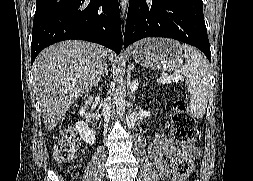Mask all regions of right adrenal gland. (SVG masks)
<instances>
[{
  "mask_svg": "<svg viewBox=\"0 0 253 181\" xmlns=\"http://www.w3.org/2000/svg\"><path fill=\"white\" fill-rule=\"evenodd\" d=\"M105 75H108V69H107V67L105 68V70L103 71V73H102L101 76H105Z\"/></svg>",
  "mask_w": 253,
  "mask_h": 181,
  "instance_id": "obj_1",
  "label": "right adrenal gland"
}]
</instances>
